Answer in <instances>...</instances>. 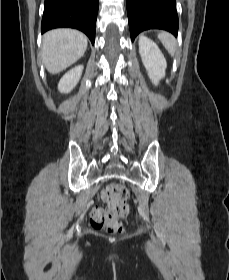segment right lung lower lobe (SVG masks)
<instances>
[{
  "instance_id": "right-lung-lower-lobe-1",
  "label": "right lung lower lobe",
  "mask_w": 229,
  "mask_h": 280,
  "mask_svg": "<svg viewBox=\"0 0 229 280\" xmlns=\"http://www.w3.org/2000/svg\"><path fill=\"white\" fill-rule=\"evenodd\" d=\"M99 0H45L41 32L70 27L84 32L92 44L95 40Z\"/></svg>"
}]
</instances>
